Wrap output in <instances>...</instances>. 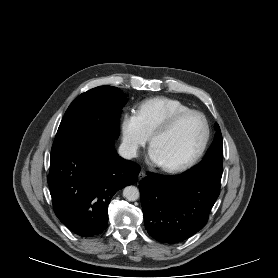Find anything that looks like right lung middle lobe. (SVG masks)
<instances>
[{"label":"right lung middle lobe","instance_id":"obj_1","mask_svg":"<svg viewBox=\"0 0 278 278\" xmlns=\"http://www.w3.org/2000/svg\"><path fill=\"white\" fill-rule=\"evenodd\" d=\"M127 95L112 86H99L79 95L68 107L52 150L79 142L119 136V118Z\"/></svg>","mask_w":278,"mask_h":278}]
</instances>
